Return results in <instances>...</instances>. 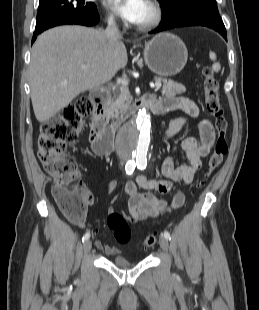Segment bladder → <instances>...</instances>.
Here are the masks:
<instances>
[{"instance_id": "1", "label": "bladder", "mask_w": 259, "mask_h": 310, "mask_svg": "<svg viewBox=\"0 0 259 310\" xmlns=\"http://www.w3.org/2000/svg\"><path fill=\"white\" fill-rule=\"evenodd\" d=\"M112 262L114 265L121 267V268H129L131 263L123 256H115L112 258Z\"/></svg>"}]
</instances>
